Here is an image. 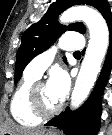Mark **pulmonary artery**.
<instances>
[{
	"mask_svg": "<svg viewBox=\"0 0 112 135\" xmlns=\"http://www.w3.org/2000/svg\"><path fill=\"white\" fill-rule=\"evenodd\" d=\"M83 45L84 42L81 34H65L62 38V41L57 46L50 47L37 56L34 60H32L26 67L25 72L39 78L52 63L57 48L67 51H78L82 49Z\"/></svg>",
	"mask_w": 112,
	"mask_h": 135,
	"instance_id": "obj_1",
	"label": "pulmonary artery"
}]
</instances>
